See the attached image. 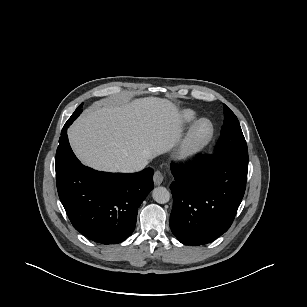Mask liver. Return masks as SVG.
<instances>
[{
	"label": "liver",
	"mask_w": 307,
	"mask_h": 307,
	"mask_svg": "<svg viewBox=\"0 0 307 307\" xmlns=\"http://www.w3.org/2000/svg\"><path fill=\"white\" fill-rule=\"evenodd\" d=\"M182 120L170 101L145 97L97 101L68 130L76 156L97 170L122 172L129 164L148 163L180 140Z\"/></svg>",
	"instance_id": "obj_1"
}]
</instances>
